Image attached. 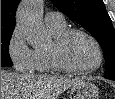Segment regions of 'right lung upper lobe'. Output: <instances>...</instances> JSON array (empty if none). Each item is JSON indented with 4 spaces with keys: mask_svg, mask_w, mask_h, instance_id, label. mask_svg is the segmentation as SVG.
<instances>
[{
    "mask_svg": "<svg viewBox=\"0 0 115 99\" xmlns=\"http://www.w3.org/2000/svg\"><path fill=\"white\" fill-rule=\"evenodd\" d=\"M19 2L20 0H1V30H14Z\"/></svg>",
    "mask_w": 115,
    "mask_h": 99,
    "instance_id": "right-lung-upper-lobe-1",
    "label": "right lung upper lobe"
}]
</instances>
